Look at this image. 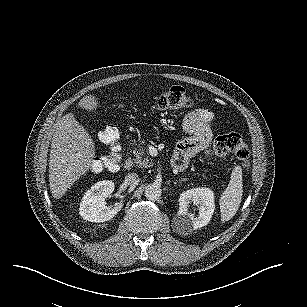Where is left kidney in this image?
<instances>
[{
    "instance_id": "left-kidney-1",
    "label": "left kidney",
    "mask_w": 307,
    "mask_h": 307,
    "mask_svg": "<svg viewBox=\"0 0 307 307\" xmlns=\"http://www.w3.org/2000/svg\"><path fill=\"white\" fill-rule=\"evenodd\" d=\"M200 204L199 215L190 210V204ZM215 194L209 187H195L186 190L179 197L178 224L179 231L201 228L210 223L215 212Z\"/></svg>"
}]
</instances>
